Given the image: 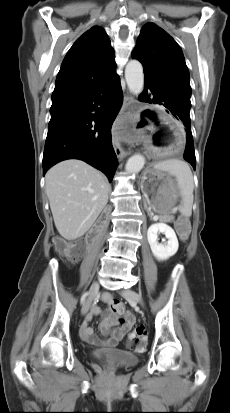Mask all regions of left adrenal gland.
Returning a JSON list of instances; mask_svg holds the SVG:
<instances>
[{
  "mask_svg": "<svg viewBox=\"0 0 230 413\" xmlns=\"http://www.w3.org/2000/svg\"><path fill=\"white\" fill-rule=\"evenodd\" d=\"M144 206L147 208L146 204H144ZM148 215L150 216V218H152L151 214L149 211H147Z\"/></svg>",
  "mask_w": 230,
  "mask_h": 413,
  "instance_id": "obj_1",
  "label": "left adrenal gland"
}]
</instances>
